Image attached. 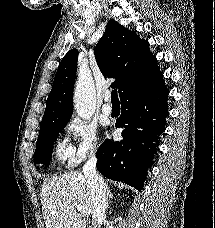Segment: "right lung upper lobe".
<instances>
[{
	"instance_id": "obj_1",
	"label": "right lung upper lobe",
	"mask_w": 215,
	"mask_h": 228,
	"mask_svg": "<svg viewBox=\"0 0 215 228\" xmlns=\"http://www.w3.org/2000/svg\"><path fill=\"white\" fill-rule=\"evenodd\" d=\"M94 53L103 75L116 78L111 86L119 89L120 98L131 83L161 74L155 56L149 51L148 41L140 39L113 19L108 21ZM77 60L78 51L72 49L60 62L41 126L70 120Z\"/></svg>"
}]
</instances>
